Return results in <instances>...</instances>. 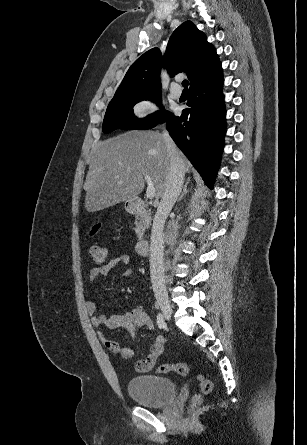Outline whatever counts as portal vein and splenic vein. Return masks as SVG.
<instances>
[{
    "mask_svg": "<svg viewBox=\"0 0 307 445\" xmlns=\"http://www.w3.org/2000/svg\"><path fill=\"white\" fill-rule=\"evenodd\" d=\"M144 178L147 182L146 196L147 198H153V196H155V186L153 184V180H151L149 174H145Z\"/></svg>",
    "mask_w": 307,
    "mask_h": 445,
    "instance_id": "1",
    "label": "portal vein and splenic vein"
}]
</instances>
